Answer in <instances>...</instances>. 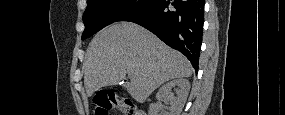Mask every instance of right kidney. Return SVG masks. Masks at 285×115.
Returning a JSON list of instances; mask_svg holds the SVG:
<instances>
[{
  "label": "right kidney",
  "instance_id": "1",
  "mask_svg": "<svg viewBox=\"0 0 285 115\" xmlns=\"http://www.w3.org/2000/svg\"><path fill=\"white\" fill-rule=\"evenodd\" d=\"M179 87V90L176 92V96L172 93V89ZM190 89V83L186 79H175L164 84L159 91L157 92L156 99L160 102L163 99L169 101L170 106L167 108V111L163 115H179L182 111L184 103L187 99L188 92ZM161 106L157 103L150 104L149 106V115H158Z\"/></svg>",
  "mask_w": 285,
  "mask_h": 115
}]
</instances>
